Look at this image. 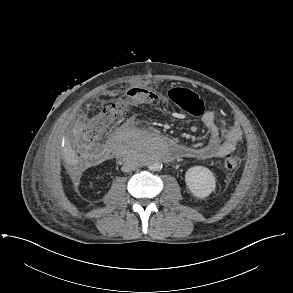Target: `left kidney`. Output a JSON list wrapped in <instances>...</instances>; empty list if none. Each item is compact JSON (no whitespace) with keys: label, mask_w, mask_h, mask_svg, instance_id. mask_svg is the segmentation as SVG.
Returning <instances> with one entry per match:
<instances>
[{"label":"left kidney","mask_w":293,"mask_h":293,"mask_svg":"<svg viewBox=\"0 0 293 293\" xmlns=\"http://www.w3.org/2000/svg\"><path fill=\"white\" fill-rule=\"evenodd\" d=\"M185 182L191 193L201 199L208 197L216 188V178L203 166L189 168L185 174Z\"/></svg>","instance_id":"1"}]
</instances>
